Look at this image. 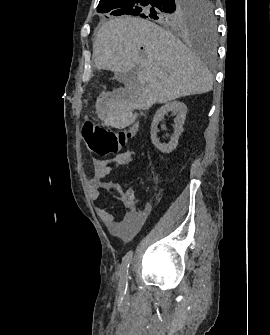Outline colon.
Instances as JSON below:
<instances>
[{
	"label": "colon",
	"mask_w": 270,
	"mask_h": 335,
	"mask_svg": "<svg viewBox=\"0 0 270 335\" xmlns=\"http://www.w3.org/2000/svg\"><path fill=\"white\" fill-rule=\"evenodd\" d=\"M83 133L88 149L96 157L118 152L134 136L132 129L110 131L91 121L85 123Z\"/></svg>",
	"instance_id": "1"
}]
</instances>
